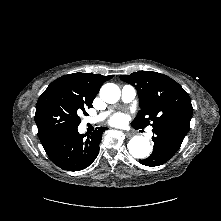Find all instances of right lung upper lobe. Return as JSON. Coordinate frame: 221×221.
Returning <instances> with one entry per match:
<instances>
[{"label": "right lung upper lobe", "instance_id": "right-lung-upper-lobe-1", "mask_svg": "<svg viewBox=\"0 0 221 221\" xmlns=\"http://www.w3.org/2000/svg\"><path fill=\"white\" fill-rule=\"evenodd\" d=\"M111 78H113V75L72 73L56 79L48 88L58 87L65 89L92 106L93 99L98 94L103 82Z\"/></svg>", "mask_w": 221, "mask_h": 221}]
</instances>
